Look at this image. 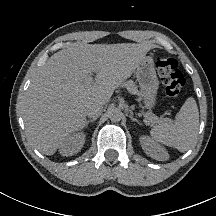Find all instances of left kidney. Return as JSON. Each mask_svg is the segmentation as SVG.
<instances>
[{
    "label": "left kidney",
    "instance_id": "left-kidney-1",
    "mask_svg": "<svg viewBox=\"0 0 216 216\" xmlns=\"http://www.w3.org/2000/svg\"><path fill=\"white\" fill-rule=\"evenodd\" d=\"M142 149L151 158L163 161L169 158V154L164 147L148 136L140 137Z\"/></svg>",
    "mask_w": 216,
    "mask_h": 216
}]
</instances>
